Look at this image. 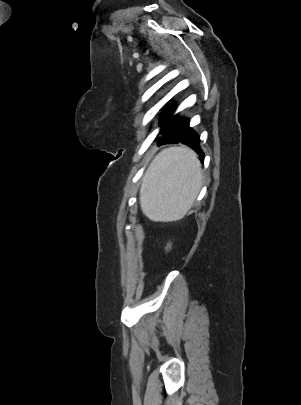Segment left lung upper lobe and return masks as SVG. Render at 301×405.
<instances>
[{
  "mask_svg": "<svg viewBox=\"0 0 301 405\" xmlns=\"http://www.w3.org/2000/svg\"><path fill=\"white\" fill-rule=\"evenodd\" d=\"M172 108H173V106L169 105L168 108L165 110V112L163 114V117H162V119L160 121V126L163 125V123L165 122V120H166L167 116L169 115L170 111L172 110Z\"/></svg>",
  "mask_w": 301,
  "mask_h": 405,
  "instance_id": "obj_1",
  "label": "left lung upper lobe"
}]
</instances>
